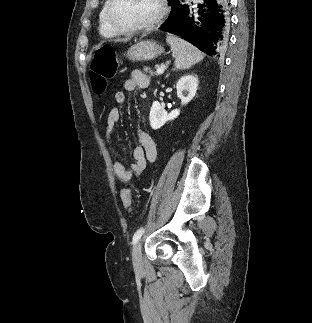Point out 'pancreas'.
<instances>
[{
	"label": "pancreas",
	"mask_w": 312,
	"mask_h": 323,
	"mask_svg": "<svg viewBox=\"0 0 312 323\" xmlns=\"http://www.w3.org/2000/svg\"><path fill=\"white\" fill-rule=\"evenodd\" d=\"M144 72H146V74H150V76H153V74H155V72H152V70H150V68H143Z\"/></svg>",
	"instance_id": "obj_1"
}]
</instances>
